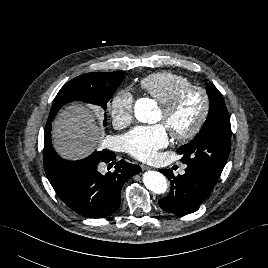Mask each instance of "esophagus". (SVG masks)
<instances>
[{
    "instance_id": "obj_1",
    "label": "esophagus",
    "mask_w": 268,
    "mask_h": 268,
    "mask_svg": "<svg viewBox=\"0 0 268 268\" xmlns=\"http://www.w3.org/2000/svg\"><path fill=\"white\" fill-rule=\"evenodd\" d=\"M141 168H142V170H149V169H151L149 166H147L145 164H141Z\"/></svg>"
}]
</instances>
